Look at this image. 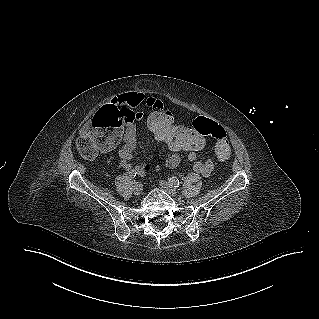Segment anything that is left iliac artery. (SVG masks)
<instances>
[{
  "instance_id": "obj_1",
  "label": "left iliac artery",
  "mask_w": 319,
  "mask_h": 319,
  "mask_svg": "<svg viewBox=\"0 0 319 319\" xmlns=\"http://www.w3.org/2000/svg\"><path fill=\"white\" fill-rule=\"evenodd\" d=\"M169 183L175 188L180 186V182L176 177H171Z\"/></svg>"
}]
</instances>
